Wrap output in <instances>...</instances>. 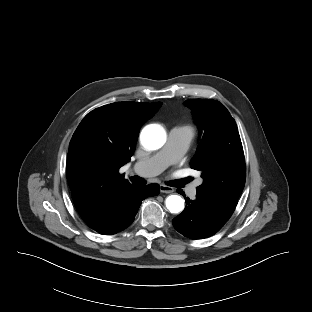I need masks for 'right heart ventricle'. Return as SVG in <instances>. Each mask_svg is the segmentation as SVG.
<instances>
[{
	"label": "right heart ventricle",
	"mask_w": 312,
	"mask_h": 312,
	"mask_svg": "<svg viewBox=\"0 0 312 312\" xmlns=\"http://www.w3.org/2000/svg\"><path fill=\"white\" fill-rule=\"evenodd\" d=\"M183 128H186L187 130H189L191 132V128L190 127H183Z\"/></svg>",
	"instance_id": "e07e8e85"
}]
</instances>
